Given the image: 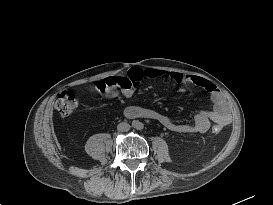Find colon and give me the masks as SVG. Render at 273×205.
<instances>
[{
    "label": "colon",
    "mask_w": 273,
    "mask_h": 205,
    "mask_svg": "<svg viewBox=\"0 0 273 205\" xmlns=\"http://www.w3.org/2000/svg\"><path fill=\"white\" fill-rule=\"evenodd\" d=\"M129 80L131 85H137L143 79L141 70L134 69L129 72ZM56 110L64 116L70 115L75 112L77 108V99L69 91L62 92L55 102ZM221 128L217 125L212 127V132L215 134L220 133Z\"/></svg>",
    "instance_id": "5ec220e1"
}]
</instances>
